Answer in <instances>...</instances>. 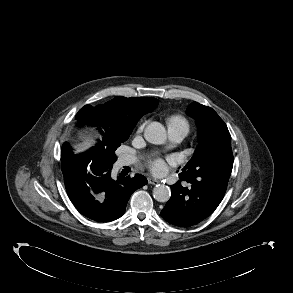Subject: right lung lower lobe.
Returning <instances> with one entry per match:
<instances>
[{"instance_id":"obj_1","label":"right lung lower lobe","mask_w":293,"mask_h":293,"mask_svg":"<svg viewBox=\"0 0 293 293\" xmlns=\"http://www.w3.org/2000/svg\"><path fill=\"white\" fill-rule=\"evenodd\" d=\"M113 164L101 157H94L64 176L67 194L76 209L97 222L121 217L131 194L147 184V179L142 175L114 180L111 176Z\"/></svg>"}]
</instances>
